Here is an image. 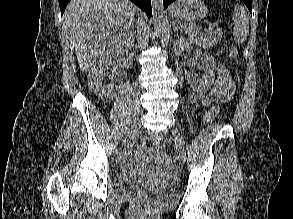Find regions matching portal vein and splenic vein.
<instances>
[{
  "mask_svg": "<svg viewBox=\"0 0 293 219\" xmlns=\"http://www.w3.org/2000/svg\"><path fill=\"white\" fill-rule=\"evenodd\" d=\"M217 25H218V23H211L208 27V30H210V31L214 30L215 26H217Z\"/></svg>",
  "mask_w": 293,
  "mask_h": 219,
  "instance_id": "portal-vein-and-splenic-vein-1",
  "label": "portal vein and splenic vein"
}]
</instances>
